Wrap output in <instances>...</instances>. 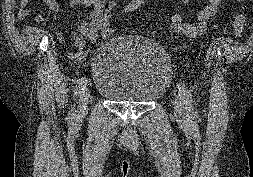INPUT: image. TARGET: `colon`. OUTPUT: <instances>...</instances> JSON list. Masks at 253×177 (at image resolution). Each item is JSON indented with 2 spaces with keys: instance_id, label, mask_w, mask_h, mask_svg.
<instances>
[{
  "instance_id": "5ec220e1",
  "label": "colon",
  "mask_w": 253,
  "mask_h": 177,
  "mask_svg": "<svg viewBox=\"0 0 253 177\" xmlns=\"http://www.w3.org/2000/svg\"><path fill=\"white\" fill-rule=\"evenodd\" d=\"M238 8L232 19L229 33L233 36H240L247 24V13L243 0H235ZM118 12V1H109L104 9L103 25L100 35L103 41L110 40L115 33L116 29V16Z\"/></svg>"
}]
</instances>
